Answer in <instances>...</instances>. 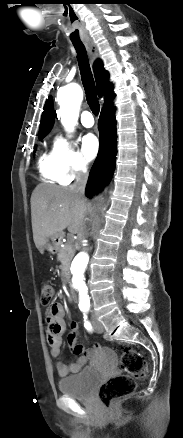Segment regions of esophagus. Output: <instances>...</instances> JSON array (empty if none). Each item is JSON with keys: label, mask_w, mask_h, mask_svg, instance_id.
Returning <instances> with one entry per match:
<instances>
[{"label": "esophagus", "mask_w": 183, "mask_h": 438, "mask_svg": "<svg viewBox=\"0 0 183 438\" xmlns=\"http://www.w3.org/2000/svg\"><path fill=\"white\" fill-rule=\"evenodd\" d=\"M85 46L87 48L89 57H90V61L93 62L95 59L98 58V50L95 46V44L93 42H86Z\"/></svg>", "instance_id": "1"}]
</instances>
